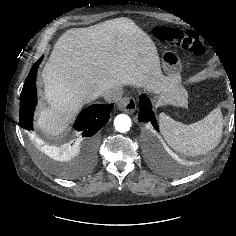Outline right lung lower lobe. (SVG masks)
Segmentation results:
<instances>
[{"label": "right lung lower lobe", "mask_w": 236, "mask_h": 236, "mask_svg": "<svg viewBox=\"0 0 236 236\" xmlns=\"http://www.w3.org/2000/svg\"><path fill=\"white\" fill-rule=\"evenodd\" d=\"M41 57L31 68L25 80L20 96V126L26 130H33V114L37 104L36 75ZM113 104H96L86 108L77 118L74 128L79 132L74 143L68 145L67 150L80 148L87 157L94 155L96 133L109 120Z\"/></svg>", "instance_id": "right-lung-lower-lobe-1"}]
</instances>
